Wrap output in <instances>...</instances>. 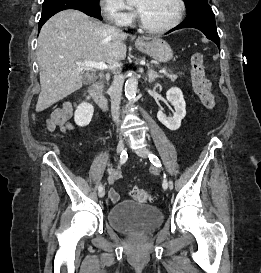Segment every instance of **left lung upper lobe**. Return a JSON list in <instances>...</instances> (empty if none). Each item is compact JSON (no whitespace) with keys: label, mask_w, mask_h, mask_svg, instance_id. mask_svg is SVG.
<instances>
[{"label":"left lung upper lobe","mask_w":261,"mask_h":273,"mask_svg":"<svg viewBox=\"0 0 261 273\" xmlns=\"http://www.w3.org/2000/svg\"><path fill=\"white\" fill-rule=\"evenodd\" d=\"M184 1H185L187 13L198 5L208 4L207 0H184Z\"/></svg>","instance_id":"5c2ea615"}]
</instances>
